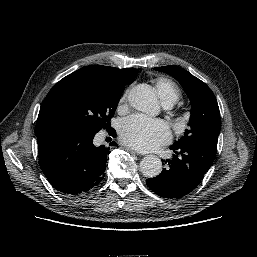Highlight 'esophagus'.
Segmentation results:
<instances>
[{"instance_id": "obj_1", "label": "esophagus", "mask_w": 257, "mask_h": 257, "mask_svg": "<svg viewBox=\"0 0 257 257\" xmlns=\"http://www.w3.org/2000/svg\"><path fill=\"white\" fill-rule=\"evenodd\" d=\"M126 150L131 153V154H134V155H139V153L131 148H126Z\"/></svg>"}]
</instances>
